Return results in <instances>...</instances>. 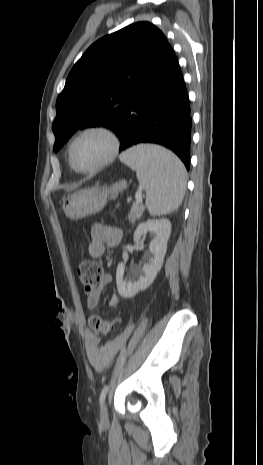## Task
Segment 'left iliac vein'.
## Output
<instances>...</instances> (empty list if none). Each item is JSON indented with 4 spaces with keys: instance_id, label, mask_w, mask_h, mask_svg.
Wrapping results in <instances>:
<instances>
[{
    "instance_id": "1",
    "label": "left iliac vein",
    "mask_w": 263,
    "mask_h": 465,
    "mask_svg": "<svg viewBox=\"0 0 263 465\" xmlns=\"http://www.w3.org/2000/svg\"><path fill=\"white\" fill-rule=\"evenodd\" d=\"M100 418L103 423H106L108 421V408L105 402L101 406Z\"/></svg>"
}]
</instances>
